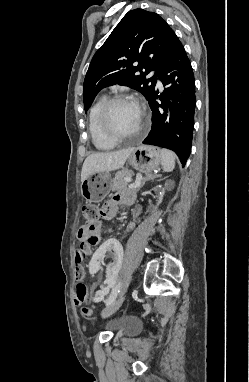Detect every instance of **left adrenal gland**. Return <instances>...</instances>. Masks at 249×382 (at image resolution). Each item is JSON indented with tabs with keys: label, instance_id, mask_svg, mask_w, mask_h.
<instances>
[{
	"label": "left adrenal gland",
	"instance_id": "1",
	"mask_svg": "<svg viewBox=\"0 0 249 382\" xmlns=\"http://www.w3.org/2000/svg\"><path fill=\"white\" fill-rule=\"evenodd\" d=\"M157 177H161V175H160V174H157V175H152V174H150V175H147L146 177H144L143 180H142V182H141V184L139 185L137 191H139V190L145 185V182H146V181H148V180H153V179H155V178H157Z\"/></svg>",
	"mask_w": 249,
	"mask_h": 382
}]
</instances>
